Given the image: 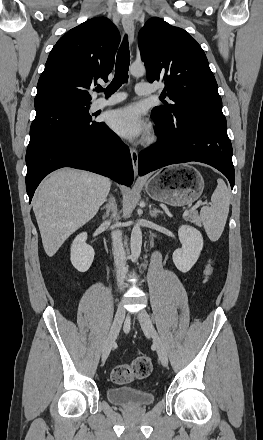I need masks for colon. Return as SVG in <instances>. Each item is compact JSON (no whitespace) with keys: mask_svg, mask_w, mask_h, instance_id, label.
Masks as SVG:
<instances>
[{"mask_svg":"<svg viewBox=\"0 0 263 440\" xmlns=\"http://www.w3.org/2000/svg\"><path fill=\"white\" fill-rule=\"evenodd\" d=\"M206 279L214 274V265L209 263L205 270ZM152 370L151 360L147 356H139L131 362L117 364L112 367L111 379L118 384H127L149 376Z\"/></svg>","mask_w":263,"mask_h":440,"instance_id":"1","label":"colon"}]
</instances>
